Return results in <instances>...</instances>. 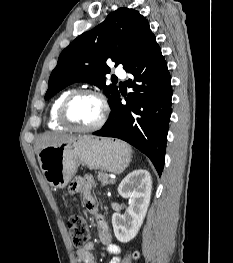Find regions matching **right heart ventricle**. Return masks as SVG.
Listing matches in <instances>:
<instances>
[{"instance_id":"right-heart-ventricle-1","label":"right heart ventricle","mask_w":233,"mask_h":263,"mask_svg":"<svg viewBox=\"0 0 233 263\" xmlns=\"http://www.w3.org/2000/svg\"><path fill=\"white\" fill-rule=\"evenodd\" d=\"M74 92L72 89L62 91L52 102L49 115H48V127L52 130H65L66 127L61 124L58 118L59 107L63 100L70 94Z\"/></svg>"}]
</instances>
